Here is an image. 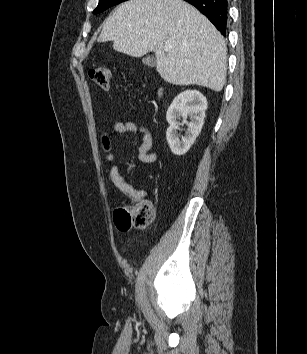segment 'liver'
<instances>
[{
  "mask_svg": "<svg viewBox=\"0 0 307 354\" xmlns=\"http://www.w3.org/2000/svg\"><path fill=\"white\" fill-rule=\"evenodd\" d=\"M98 42L133 57L156 55L160 76L174 85L221 91L226 81L227 48L214 25L183 0H129L106 20ZM165 45H170L168 52Z\"/></svg>",
  "mask_w": 307,
  "mask_h": 354,
  "instance_id": "6515ba94",
  "label": "liver"
}]
</instances>
